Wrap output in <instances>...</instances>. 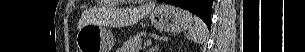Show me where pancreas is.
<instances>
[{
  "mask_svg": "<svg viewBox=\"0 0 305 52\" xmlns=\"http://www.w3.org/2000/svg\"><path fill=\"white\" fill-rule=\"evenodd\" d=\"M142 46V39L140 36H133L125 41L121 48V52H139Z\"/></svg>",
  "mask_w": 305,
  "mask_h": 52,
  "instance_id": "1",
  "label": "pancreas"
}]
</instances>
